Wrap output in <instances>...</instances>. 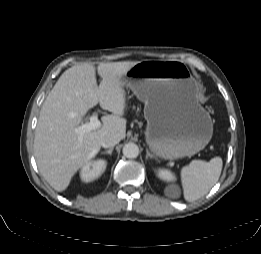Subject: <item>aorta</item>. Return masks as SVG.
Returning <instances> with one entry per match:
<instances>
[{
    "label": "aorta",
    "mask_w": 261,
    "mask_h": 254,
    "mask_svg": "<svg viewBox=\"0 0 261 254\" xmlns=\"http://www.w3.org/2000/svg\"><path fill=\"white\" fill-rule=\"evenodd\" d=\"M123 155L127 158H136L139 155V148L135 143H127L123 147Z\"/></svg>",
    "instance_id": "762f6f07"
}]
</instances>
